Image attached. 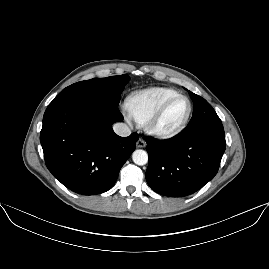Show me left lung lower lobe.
I'll use <instances>...</instances> for the list:
<instances>
[{
    "mask_svg": "<svg viewBox=\"0 0 269 269\" xmlns=\"http://www.w3.org/2000/svg\"><path fill=\"white\" fill-rule=\"evenodd\" d=\"M146 180L157 193L185 197L195 193L218 172L226 148L222 124H209L169 142L147 140Z\"/></svg>",
    "mask_w": 269,
    "mask_h": 269,
    "instance_id": "left-lung-lower-lobe-1",
    "label": "left lung lower lobe"
}]
</instances>
